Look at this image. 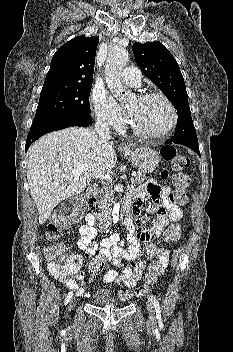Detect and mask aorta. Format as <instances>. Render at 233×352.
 <instances>
[{"label":"aorta","mask_w":233,"mask_h":352,"mask_svg":"<svg viewBox=\"0 0 233 352\" xmlns=\"http://www.w3.org/2000/svg\"><path fill=\"white\" fill-rule=\"evenodd\" d=\"M129 60L128 52L121 47L111 50L105 64V81L107 87L114 93L115 97L121 102L126 103L132 97L131 92L124 89L120 73ZM120 217V203L115 202L112 208V220L117 224Z\"/></svg>","instance_id":"762f6f07"}]
</instances>
